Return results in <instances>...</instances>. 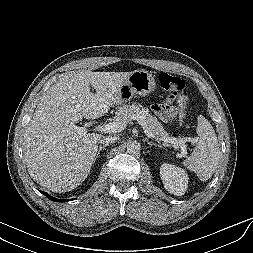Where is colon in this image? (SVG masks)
Returning <instances> with one entry per match:
<instances>
[{"label": "colon", "instance_id": "5ec220e1", "mask_svg": "<svg viewBox=\"0 0 253 253\" xmlns=\"http://www.w3.org/2000/svg\"><path fill=\"white\" fill-rule=\"evenodd\" d=\"M159 82L162 88L171 93L172 98H174L178 104L180 113L184 118L186 115V108L188 106V98L184 92L185 83L184 81L167 72H162L159 75Z\"/></svg>", "mask_w": 253, "mask_h": 253}]
</instances>
